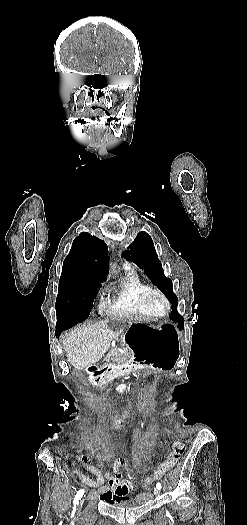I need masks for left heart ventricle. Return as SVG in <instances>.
Instances as JSON below:
<instances>
[{
    "instance_id": "obj_1",
    "label": "left heart ventricle",
    "mask_w": 247,
    "mask_h": 525,
    "mask_svg": "<svg viewBox=\"0 0 247 525\" xmlns=\"http://www.w3.org/2000/svg\"><path fill=\"white\" fill-rule=\"evenodd\" d=\"M147 303L155 311H162L165 307L163 300L157 294H151L147 299Z\"/></svg>"
}]
</instances>
